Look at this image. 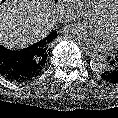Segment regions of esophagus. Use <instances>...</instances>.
<instances>
[{
  "label": "esophagus",
  "instance_id": "obj_1",
  "mask_svg": "<svg viewBox=\"0 0 118 118\" xmlns=\"http://www.w3.org/2000/svg\"><path fill=\"white\" fill-rule=\"evenodd\" d=\"M82 50H83V51L86 53V55H88V56H95V52H94V51L87 50V49H85V48H83Z\"/></svg>",
  "mask_w": 118,
  "mask_h": 118
}]
</instances>
